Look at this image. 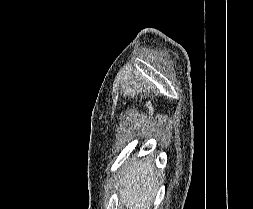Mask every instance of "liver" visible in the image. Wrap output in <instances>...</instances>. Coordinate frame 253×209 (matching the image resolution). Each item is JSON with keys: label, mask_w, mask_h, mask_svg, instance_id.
Segmentation results:
<instances>
[{"label": "liver", "mask_w": 253, "mask_h": 209, "mask_svg": "<svg viewBox=\"0 0 253 209\" xmlns=\"http://www.w3.org/2000/svg\"><path fill=\"white\" fill-rule=\"evenodd\" d=\"M159 177L151 160L133 161L117 183L120 203L127 209H149L158 191Z\"/></svg>", "instance_id": "6515ba94"}]
</instances>
